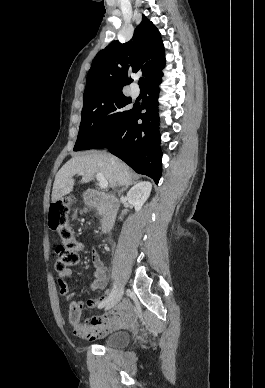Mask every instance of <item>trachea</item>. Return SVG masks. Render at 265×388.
I'll return each instance as SVG.
<instances>
[{
	"mask_svg": "<svg viewBox=\"0 0 265 388\" xmlns=\"http://www.w3.org/2000/svg\"><path fill=\"white\" fill-rule=\"evenodd\" d=\"M139 85L140 86H146L145 78L142 77V78L139 79Z\"/></svg>",
	"mask_w": 265,
	"mask_h": 388,
	"instance_id": "obj_1",
	"label": "trachea"
}]
</instances>
